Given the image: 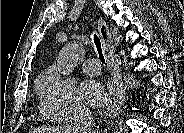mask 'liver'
Masks as SVG:
<instances>
[{"instance_id": "6515ba94", "label": "liver", "mask_w": 184, "mask_h": 133, "mask_svg": "<svg viewBox=\"0 0 184 133\" xmlns=\"http://www.w3.org/2000/svg\"><path fill=\"white\" fill-rule=\"evenodd\" d=\"M35 133H75L71 127H41L34 130Z\"/></svg>"}]
</instances>
